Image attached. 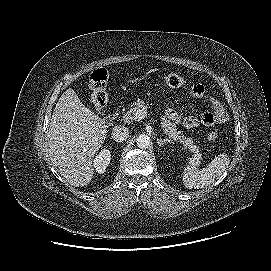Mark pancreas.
Wrapping results in <instances>:
<instances>
[{
    "instance_id": "obj_1",
    "label": "pancreas",
    "mask_w": 271,
    "mask_h": 271,
    "mask_svg": "<svg viewBox=\"0 0 271 271\" xmlns=\"http://www.w3.org/2000/svg\"><path fill=\"white\" fill-rule=\"evenodd\" d=\"M147 108V103L143 100H136L133 102L131 108L122 116L124 122L130 123L137 121L136 113L142 109ZM161 127L164 133L169 137L171 141L180 142L183 147L188 148L190 152L194 154V157L191 158L195 165H199L202 159L201 154L199 153V147L194 145L192 138H188L183 135V132L178 131L175 123H172L164 115H161Z\"/></svg>"
}]
</instances>
